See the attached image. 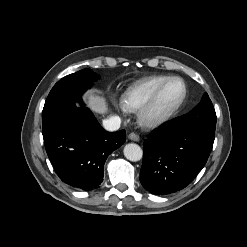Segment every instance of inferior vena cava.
Returning <instances> with one entry per match:
<instances>
[{"label":"inferior vena cava","mask_w":247,"mask_h":247,"mask_svg":"<svg viewBox=\"0 0 247 247\" xmlns=\"http://www.w3.org/2000/svg\"><path fill=\"white\" fill-rule=\"evenodd\" d=\"M121 119L118 116H112L103 121V126L107 131L113 132L120 128Z\"/></svg>","instance_id":"602c4592"}]
</instances>
